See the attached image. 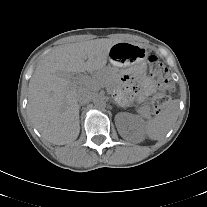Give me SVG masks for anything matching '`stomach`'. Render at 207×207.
<instances>
[{
    "mask_svg": "<svg viewBox=\"0 0 207 207\" xmlns=\"http://www.w3.org/2000/svg\"><path fill=\"white\" fill-rule=\"evenodd\" d=\"M148 56L147 51L135 44L117 43L109 52L110 63L114 67L142 64Z\"/></svg>",
    "mask_w": 207,
    "mask_h": 207,
    "instance_id": "1",
    "label": "stomach"
}]
</instances>
